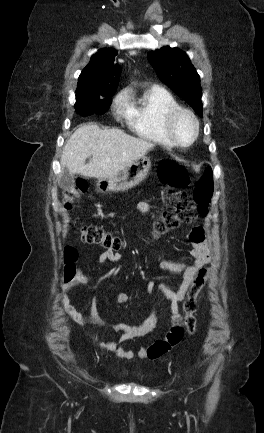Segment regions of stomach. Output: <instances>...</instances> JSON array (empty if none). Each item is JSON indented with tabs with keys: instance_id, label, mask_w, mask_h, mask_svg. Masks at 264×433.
Segmentation results:
<instances>
[{
	"instance_id": "0dacf381",
	"label": "stomach",
	"mask_w": 264,
	"mask_h": 433,
	"mask_svg": "<svg viewBox=\"0 0 264 433\" xmlns=\"http://www.w3.org/2000/svg\"><path fill=\"white\" fill-rule=\"evenodd\" d=\"M151 169V160L143 156L127 167L121 175L97 182V190L101 193L127 191L140 184Z\"/></svg>"
}]
</instances>
